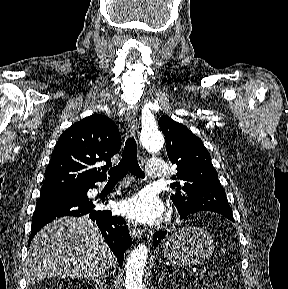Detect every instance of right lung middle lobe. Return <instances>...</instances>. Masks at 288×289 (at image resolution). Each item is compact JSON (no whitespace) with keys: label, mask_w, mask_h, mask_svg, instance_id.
Segmentation results:
<instances>
[{"label":"right lung middle lobe","mask_w":288,"mask_h":289,"mask_svg":"<svg viewBox=\"0 0 288 289\" xmlns=\"http://www.w3.org/2000/svg\"><path fill=\"white\" fill-rule=\"evenodd\" d=\"M62 196H76L86 198L84 188L41 190L40 198H55Z\"/></svg>","instance_id":"right-lung-middle-lobe-1"}]
</instances>
